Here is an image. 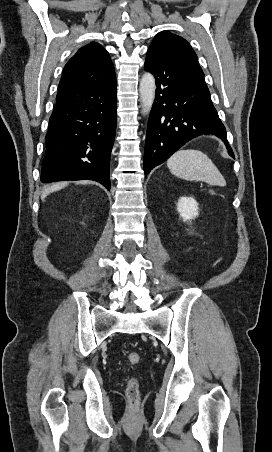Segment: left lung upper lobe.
I'll use <instances>...</instances> for the list:
<instances>
[{
    "label": "left lung upper lobe",
    "mask_w": 272,
    "mask_h": 452,
    "mask_svg": "<svg viewBox=\"0 0 272 452\" xmlns=\"http://www.w3.org/2000/svg\"><path fill=\"white\" fill-rule=\"evenodd\" d=\"M148 50H155L169 57L178 59L203 74L197 55L182 37L169 31L159 32Z\"/></svg>",
    "instance_id": "obj_1"
}]
</instances>
